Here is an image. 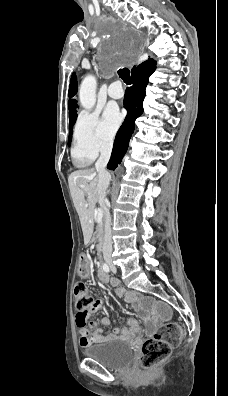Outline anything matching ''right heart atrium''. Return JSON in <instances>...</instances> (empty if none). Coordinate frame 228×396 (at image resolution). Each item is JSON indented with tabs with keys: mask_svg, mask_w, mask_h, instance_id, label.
Instances as JSON below:
<instances>
[{
	"mask_svg": "<svg viewBox=\"0 0 228 396\" xmlns=\"http://www.w3.org/2000/svg\"><path fill=\"white\" fill-rule=\"evenodd\" d=\"M112 146L113 136L97 113L85 111L78 116L73 147V156L78 162H91Z\"/></svg>",
	"mask_w": 228,
	"mask_h": 396,
	"instance_id": "d8ad5b80",
	"label": "right heart atrium"
}]
</instances>
